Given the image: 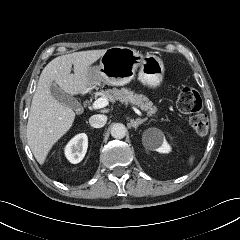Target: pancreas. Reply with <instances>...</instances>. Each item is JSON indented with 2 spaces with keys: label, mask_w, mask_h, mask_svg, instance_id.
Wrapping results in <instances>:
<instances>
[{
  "label": "pancreas",
  "mask_w": 240,
  "mask_h": 240,
  "mask_svg": "<svg viewBox=\"0 0 240 240\" xmlns=\"http://www.w3.org/2000/svg\"><path fill=\"white\" fill-rule=\"evenodd\" d=\"M103 96L106 97L111 102L120 101L125 104H133L139 107L141 110L146 111L149 117L153 116L157 112V107L153 105L147 97L142 94H136L126 88H113L106 90Z\"/></svg>",
  "instance_id": "obj_1"
}]
</instances>
